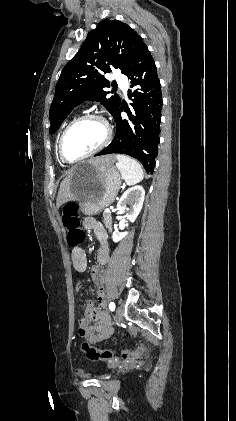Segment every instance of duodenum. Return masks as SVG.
<instances>
[{
    "label": "duodenum",
    "mask_w": 236,
    "mask_h": 421,
    "mask_svg": "<svg viewBox=\"0 0 236 421\" xmlns=\"http://www.w3.org/2000/svg\"><path fill=\"white\" fill-rule=\"evenodd\" d=\"M108 259H109V250L107 248V245L104 243L100 251L99 258H98L99 266H96L92 270L93 280L98 285L97 299H98L99 306H103L105 304V285H104L105 284V271L101 267V265L107 263ZM90 312L94 313V310L90 308ZM95 316L98 317V321L95 324V326L89 327L86 324H84L83 333H85V335L87 336L100 338L102 337V324L100 322L99 314L96 311H95ZM95 331H97L96 334H94Z\"/></svg>",
    "instance_id": "duodenum-1"
}]
</instances>
